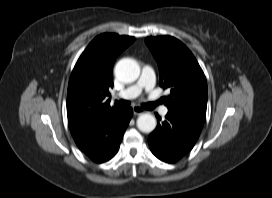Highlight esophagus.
<instances>
[{
    "instance_id": "esophagus-1",
    "label": "esophagus",
    "mask_w": 272,
    "mask_h": 198,
    "mask_svg": "<svg viewBox=\"0 0 272 198\" xmlns=\"http://www.w3.org/2000/svg\"><path fill=\"white\" fill-rule=\"evenodd\" d=\"M132 109H133L134 115H140L146 112L143 108L137 105L133 106Z\"/></svg>"
}]
</instances>
